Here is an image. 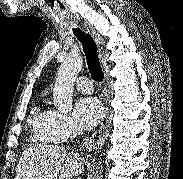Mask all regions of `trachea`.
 I'll use <instances>...</instances> for the list:
<instances>
[{"label":"trachea","instance_id":"obj_1","mask_svg":"<svg viewBox=\"0 0 183 179\" xmlns=\"http://www.w3.org/2000/svg\"><path fill=\"white\" fill-rule=\"evenodd\" d=\"M73 33L82 43L88 69L92 78L95 81L102 83L104 80V73L99 62L95 41L89 34L83 33L79 28H74Z\"/></svg>","mask_w":183,"mask_h":179}]
</instances>
